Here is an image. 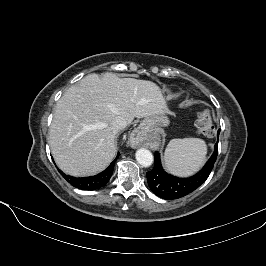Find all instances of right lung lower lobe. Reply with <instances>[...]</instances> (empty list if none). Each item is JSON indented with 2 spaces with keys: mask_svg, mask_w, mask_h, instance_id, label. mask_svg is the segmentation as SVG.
<instances>
[{
  "mask_svg": "<svg viewBox=\"0 0 266 266\" xmlns=\"http://www.w3.org/2000/svg\"><path fill=\"white\" fill-rule=\"evenodd\" d=\"M115 161L116 159L109 165V167L106 170L99 173L98 175L85 177V178H76L66 175L60 169H58V171L72 186L82 190H94L105 186L107 182L110 180L113 173Z\"/></svg>",
  "mask_w": 266,
  "mask_h": 266,
  "instance_id": "right-lung-lower-lobe-1",
  "label": "right lung lower lobe"
}]
</instances>
